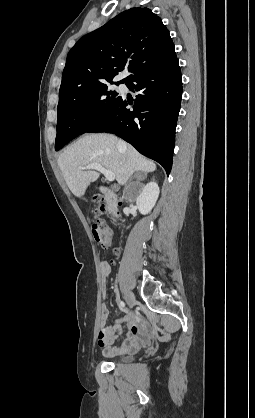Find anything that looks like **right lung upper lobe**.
Wrapping results in <instances>:
<instances>
[{"label":"right lung upper lobe","mask_w":255,"mask_h":418,"mask_svg":"<svg viewBox=\"0 0 255 418\" xmlns=\"http://www.w3.org/2000/svg\"><path fill=\"white\" fill-rule=\"evenodd\" d=\"M176 56L169 31L148 8H131L83 36L67 55L59 94L112 79L129 63L126 83Z\"/></svg>","instance_id":"right-lung-upper-lobe-1"}]
</instances>
